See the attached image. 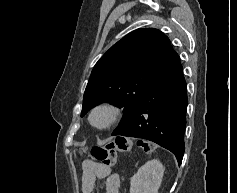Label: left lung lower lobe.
<instances>
[{
  "mask_svg": "<svg viewBox=\"0 0 237 193\" xmlns=\"http://www.w3.org/2000/svg\"><path fill=\"white\" fill-rule=\"evenodd\" d=\"M186 82L178 54L150 85L130 123L118 134L150 140L171 151L180 165L184 155Z\"/></svg>",
  "mask_w": 237,
  "mask_h": 193,
  "instance_id": "1",
  "label": "left lung lower lobe"
}]
</instances>
